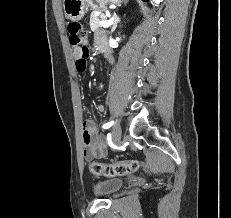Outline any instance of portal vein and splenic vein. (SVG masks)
Segmentation results:
<instances>
[{
  "label": "portal vein and splenic vein",
  "mask_w": 231,
  "mask_h": 218,
  "mask_svg": "<svg viewBox=\"0 0 231 218\" xmlns=\"http://www.w3.org/2000/svg\"><path fill=\"white\" fill-rule=\"evenodd\" d=\"M114 23V18H111L109 20H101L99 21V25L102 27H109Z\"/></svg>",
  "instance_id": "1"
}]
</instances>
